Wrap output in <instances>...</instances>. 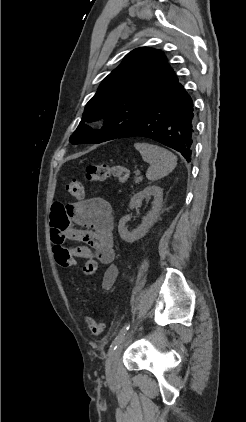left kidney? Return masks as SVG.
Wrapping results in <instances>:
<instances>
[{"mask_svg": "<svg viewBox=\"0 0 246 422\" xmlns=\"http://www.w3.org/2000/svg\"><path fill=\"white\" fill-rule=\"evenodd\" d=\"M151 196L154 199L152 209L148 212V214L143 219L141 225L138 228L129 232L126 227V223L128 222L129 217L126 215L120 219L118 225V232L122 240L129 243H133L134 241L139 240L140 238L146 235L151 226L157 220L162 207L163 200V190L159 186H148L144 190L136 193L130 200L129 208L134 209L141 206L142 201L145 198H150Z\"/></svg>", "mask_w": 246, "mask_h": 422, "instance_id": "1", "label": "left kidney"}]
</instances>
